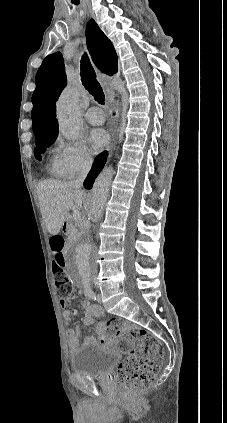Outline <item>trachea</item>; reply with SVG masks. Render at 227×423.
<instances>
[{"label": "trachea", "mask_w": 227, "mask_h": 423, "mask_svg": "<svg viewBox=\"0 0 227 423\" xmlns=\"http://www.w3.org/2000/svg\"><path fill=\"white\" fill-rule=\"evenodd\" d=\"M81 81L88 90V92L95 98L96 102L104 105L105 95L101 85L96 79V73L90 63L89 57L86 53L83 54L81 59Z\"/></svg>", "instance_id": "1"}]
</instances>
